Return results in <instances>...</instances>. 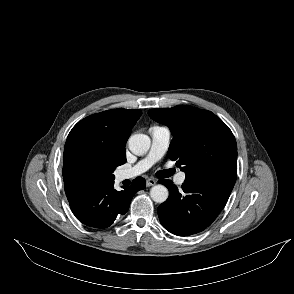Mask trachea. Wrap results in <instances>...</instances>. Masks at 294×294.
<instances>
[{
	"instance_id": "1",
	"label": "trachea",
	"mask_w": 294,
	"mask_h": 294,
	"mask_svg": "<svg viewBox=\"0 0 294 294\" xmlns=\"http://www.w3.org/2000/svg\"><path fill=\"white\" fill-rule=\"evenodd\" d=\"M173 173H174V171H172V170H164V171L159 172L158 176L160 178H167V177H170Z\"/></svg>"
}]
</instances>
